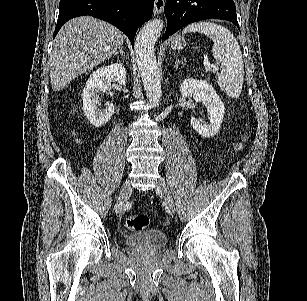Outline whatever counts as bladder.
Wrapping results in <instances>:
<instances>
[{"mask_svg": "<svg viewBox=\"0 0 307 301\" xmlns=\"http://www.w3.org/2000/svg\"><path fill=\"white\" fill-rule=\"evenodd\" d=\"M129 246L145 247L147 249H162L168 244V238L165 232L158 229H148L143 232H136L124 238Z\"/></svg>", "mask_w": 307, "mask_h": 301, "instance_id": "bladder-1", "label": "bladder"}]
</instances>
